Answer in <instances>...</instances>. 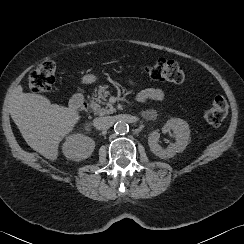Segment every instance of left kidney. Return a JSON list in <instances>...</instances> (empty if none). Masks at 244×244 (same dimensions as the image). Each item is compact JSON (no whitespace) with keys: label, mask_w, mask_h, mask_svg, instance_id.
I'll list each match as a JSON object with an SVG mask.
<instances>
[{"label":"left kidney","mask_w":244,"mask_h":244,"mask_svg":"<svg viewBox=\"0 0 244 244\" xmlns=\"http://www.w3.org/2000/svg\"><path fill=\"white\" fill-rule=\"evenodd\" d=\"M173 130L176 141L168 146V148L161 147L159 142V131L154 130L148 136V145L151 152L161 159H168L174 157L177 153L184 151L190 141V129L188 123L180 118H171L162 127V130Z\"/></svg>","instance_id":"5707ae66"}]
</instances>
